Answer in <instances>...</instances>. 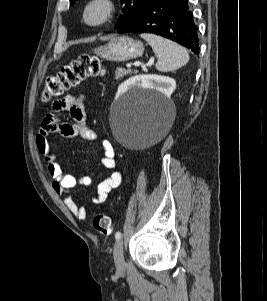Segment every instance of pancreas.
<instances>
[{
	"instance_id": "pancreas-1",
	"label": "pancreas",
	"mask_w": 267,
	"mask_h": 301,
	"mask_svg": "<svg viewBox=\"0 0 267 301\" xmlns=\"http://www.w3.org/2000/svg\"><path fill=\"white\" fill-rule=\"evenodd\" d=\"M132 72L130 70H126L124 68H118L115 72V79H120L128 74H131ZM136 73V72H135Z\"/></svg>"
}]
</instances>
